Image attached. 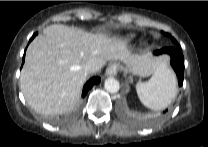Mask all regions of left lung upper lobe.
I'll return each mask as SVG.
<instances>
[{
  "mask_svg": "<svg viewBox=\"0 0 208 147\" xmlns=\"http://www.w3.org/2000/svg\"><path fill=\"white\" fill-rule=\"evenodd\" d=\"M163 34L166 35V36H169V37L171 38L172 42L174 43V45H175L176 47L180 48V46H179V44L177 43V41H176L169 33H164V32H163Z\"/></svg>",
  "mask_w": 208,
  "mask_h": 147,
  "instance_id": "obj_1",
  "label": "left lung upper lobe"
}]
</instances>
